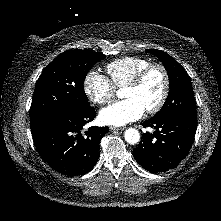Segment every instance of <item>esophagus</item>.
I'll list each match as a JSON object with an SVG mask.
<instances>
[{
  "mask_svg": "<svg viewBox=\"0 0 221 221\" xmlns=\"http://www.w3.org/2000/svg\"><path fill=\"white\" fill-rule=\"evenodd\" d=\"M124 129H125L124 127L110 126V130H112V131H115V130L122 131V130H124Z\"/></svg>",
  "mask_w": 221,
  "mask_h": 221,
  "instance_id": "34e87169",
  "label": "esophagus"
}]
</instances>
